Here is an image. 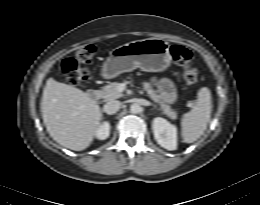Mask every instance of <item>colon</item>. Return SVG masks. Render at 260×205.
<instances>
[{"instance_id":"colon-1","label":"colon","mask_w":260,"mask_h":205,"mask_svg":"<svg viewBox=\"0 0 260 205\" xmlns=\"http://www.w3.org/2000/svg\"><path fill=\"white\" fill-rule=\"evenodd\" d=\"M94 54L95 47L86 45L79 47L72 56L62 61V72L69 84L78 86L86 80L87 71L83 66L91 62ZM171 55L176 63L185 67L184 78L186 83L194 85L198 79V70L194 65L192 52L188 48L176 44L171 47Z\"/></svg>"}]
</instances>
